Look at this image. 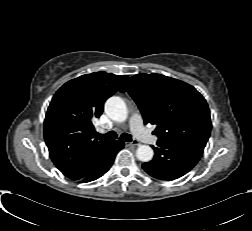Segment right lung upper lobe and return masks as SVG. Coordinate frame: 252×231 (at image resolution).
<instances>
[{
    "mask_svg": "<svg viewBox=\"0 0 252 231\" xmlns=\"http://www.w3.org/2000/svg\"><path fill=\"white\" fill-rule=\"evenodd\" d=\"M127 78L94 72L68 81L53 96L44 121V138L53 163L66 177L82 179L95 158L113 143L95 137L92 120L100 117L106 99Z\"/></svg>",
    "mask_w": 252,
    "mask_h": 231,
    "instance_id": "cb5924a9",
    "label": "right lung upper lobe"
}]
</instances>
